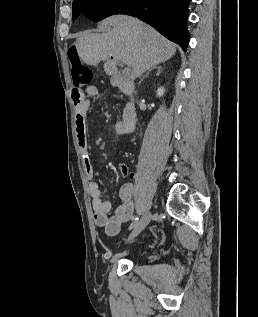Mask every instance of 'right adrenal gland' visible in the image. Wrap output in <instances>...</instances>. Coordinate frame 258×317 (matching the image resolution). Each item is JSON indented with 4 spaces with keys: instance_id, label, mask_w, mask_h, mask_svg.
<instances>
[{
    "instance_id": "1",
    "label": "right adrenal gland",
    "mask_w": 258,
    "mask_h": 317,
    "mask_svg": "<svg viewBox=\"0 0 258 317\" xmlns=\"http://www.w3.org/2000/svg\"><path fill=\"white\" fill-rule=\"evenodd\" d=\"M153 68H157L156 72H157V74H160L161 66H157V64H154V66H151V68H149V70H147V72H146V74H144L143 78H145V76H147V74H149L150 70H153ZM143 78H141V80H139V84H141Z\"/></svg>"
}]
</instances>
